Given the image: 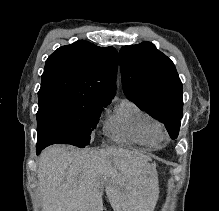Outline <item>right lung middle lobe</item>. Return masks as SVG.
I'll return each instance as SVG.
<instances>
[{
  "mask_svg": "<svg viewBox=\"0 0 219 211\" xmlns=\"http://www.w3.org/2000/svg\"><path fill=\"white\" fill-rule=\"evenodd\" d=\"M39 141L53 140L80 148L89 145L106 102H94L62 94L38 96Z\"/></svg>",
  "mask_w": 219,
  "mask_h": 211,
  "instance_id": "right-lung-middle-lobe-1",
  "label": "right lung middle lobe"
}]
</instances>
